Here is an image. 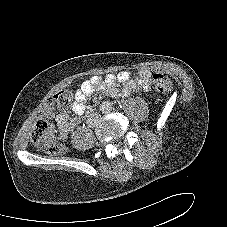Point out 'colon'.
<instances>
[{
  "label": "colon",
  "mask_w": 227,
  "mask_h": 227,
  "mask_svg": "<svg viewBox=\"0 0 227 227\" xmlns=\"http://www.w3.org/2000/svg\"><path fill=\"white\" fill-rule=\"evenodd\" d=\"M153 81L156 90L160 93L168 94L173 89V82L166 75L155 74ZM71 99L72 94L69 91H60L43 102L41 106L42 115L36 120L32 134V143L35 148L52 155L61 154L64 151V144L59 141L47 118L52 116L56 110L67 108Z\"/></svg>",
  "instance_id": "1"
}]
</instances>
